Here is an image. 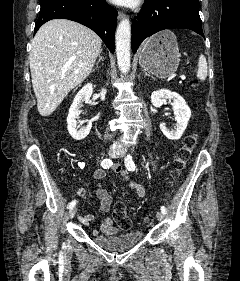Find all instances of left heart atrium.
Returning <instances> with one entry per match:
<instances>
[{
    "mask_svg": "<svg viewBox=\"0 0 240 281\" xmlns=\"http://www.w3.org/2000/svg\"><path fill=\"white\" fill-rule=\"evenodd\" d=\"M110 1L117 5L127 6V7L136 6L139 2V0H110Z\"/></svg>",
    "mask_w": 240,
    "mask_h": 281,
    "instance_id": "1",
    "label": "left heart atrium"
}]
</instances>
